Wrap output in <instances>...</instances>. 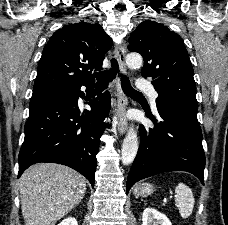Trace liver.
<instances>
[{
    "mask_svg": "<svg viewBox=\"0 0 228 225\" xmlns=\"http://www.w3.org/2000/svg\"><path fill=\"white\" fill-rule=\"evenodd\" d=\"M19 187L25 225H55L82 201L86 179L69 167L39 163L24 171Z\"/></svg>",
    "mask_w": 228,
    "mask_h": 225,
    "instance_id": "6515ba94",
    "label": "liver"
}]
</instances>
